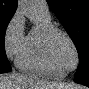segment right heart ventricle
<instances>
[{
    "mask_svg": "<svg viewBox=\"0 0 89 89\" xmlns=\"http://www.w3.org/2000/svg\"><path fill=\"white\" fill-rule=\"evenodd\" d=\"M39 22L28 32L24 45L16 59L17 66L23 72L50 78H63L65 75L57 70L49 60L44 43L46 30L54 27L50 16L38 13Z\"/></svg>",
    "mask_w": 89,
    "mask_h": 89,
    "instance_id": "e07e8e85",
    "label": "right heart ventricle"
}]
</instances>
